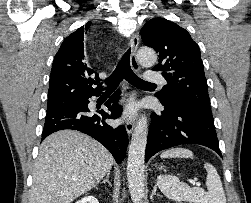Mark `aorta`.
Instances as JSON below:
<instances>
[{"label":"aorta","instance_id":"762f6f07","mask_svg":"<svg viewBox=\"0 0 251 203\" xmlns=\"http://www.w3.org/2000/svg\"><path fill=\"white\" fill-rule=\"evenodd\" d=\"M144 66H152L157 60L156 52L151 48H141L137 54ZM148 120L142 115L132 134L127 159V182L133 203H141L144 197V160L147 144Z\"/></svg>","mask_w":251,"mask_h":203}]
</instances>
